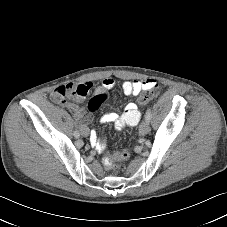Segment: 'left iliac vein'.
<instances>
[{
	"mask_svg": "<svg viewBox=\"0 0 227 227\" xmlns=\"http://www.w3.org/2000/svg\"><path fill=\"white\" fill-rule=\"evenodd\" d=\"M150 131V127H149V121H147L146 119L143 120L139 126V133L141 135H146L148 132Z\"/></svg>",
	"mask_w": 227,
	"mask_h": 227,
	"instance_id": "left-iliac-vein-1",
	"label": "left iliac vein"
}]
</instances>
